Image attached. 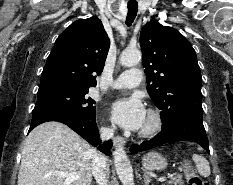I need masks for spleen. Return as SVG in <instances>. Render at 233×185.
Masks as SVG:
<instances>
[{
	"label": "spleen",
	"instance_id": "obj_1",
	"mask_svg": "<svg viewBox=\"0 0 233 185\" xmlns=\"http://www.w3.org/2000/svg\"><path fill=\"white\" fill-rule=\"evenodd\" d=\"M192 159L195 162L198 173L203 177H209L210 166L206 158L199 154H194L192 156Z\"/></svg>",
	"mask_w": 233,
	"mask_h": 185
}]
</instances>
